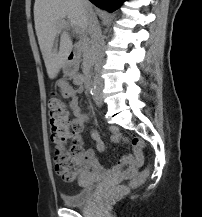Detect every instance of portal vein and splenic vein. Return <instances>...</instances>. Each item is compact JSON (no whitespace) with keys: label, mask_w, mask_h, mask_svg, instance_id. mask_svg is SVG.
Wrapping results in <instances>:
<instances>
[{"label":"portal vein and splenic vein","mask_w":202,"mask_h":217,"mask_svg":"<svg viewBox=\"0 0 202 217\" xmlns=\"http://www.w3.org/2000/svg\"><path fill=\"white\" fill-rule=\"evenodd\" d=\"M69 26H73V25H72V24H69V23L66 22V21H63V22H62V27H63V28L69 27ZM75 31H76L77 34H82V31H81L79 28H77V27H75Z\"/></svg>","instance_id":"portal-vein-and-splenic-vein-1"}]
</instances>
